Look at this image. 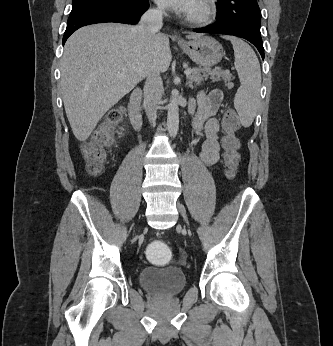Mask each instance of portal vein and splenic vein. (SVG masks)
I'll return each instance as SVG.
<instances>
[{
  "label": "portal vein and splenic vein",
  "instance_id": "portal-vein-and-splenic-vein-1",
  "mask_svg": "<svg viewBox=\"0 0 333 346\" xmlns=\"http://www.w3.org/2000/svg\"><path fill=\"white\" fill-rule=\"evenodd\" d=\"M184 73H185L186 76H188V75H190V74L192 73V70H191V69H186V70L184 71ZM119 77H123V75L120 74Z\"/></svg>",
  "mask_w": 333,
  "mask_h": 346
}]
</instances>
